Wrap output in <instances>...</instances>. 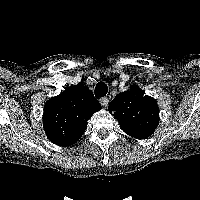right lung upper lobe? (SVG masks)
Returning a JSON list of instances; mask_svg holds the SVG:
<instances>
[{"instance_id": "cb5924a9", "label": "right lung upper lobe", "mask_w": 200, "mask_h": 200, "mask_svg": "<svg viewBox=\"0 0 200 200\" xmlns=\"http://www.w3.org/2000/svg\"><path fill=\"white\" fill-rule=\"evenodd\" d=\"M101 108L92 92L79 84L51 98L43 115L44 130L55 144L69 146L83 135L87 120Z\"/></svg>"}]
</instances>
